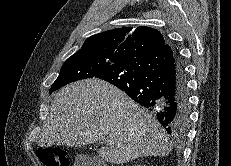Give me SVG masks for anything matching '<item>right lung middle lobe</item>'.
Segmentation results:
<instances>
[{
    "label": "right lung middle lobe",
    "instance_id": "dd1d6c3e",
    "mask_svg": "<svg viewBox=\"0 0 231 166\" xmlns=\"http://www.w3.org/2000/svg\"><path fill=\"white\" fill-rule=\"evenodd\" d=\"M123 61L118 56L106 55L95 50H80L69 57L61 67L58 78L50 88V93L68 83L92 78L106 68Z\"/></svg>",
    "mask_w": 231,
    "mask_h": 166
}]
</instances>
